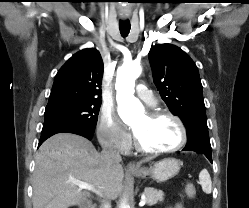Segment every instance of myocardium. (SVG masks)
Returning a JSON list of instances; mask_svg holds the SVG:
<instances>
[{"label": "myocardium", "instance_id": "f54148a6", "mask_svg": "<svg viewBox=\"0 0 249 208\" xmlns=\"http://www.w3.org/2000/svg\"><path fill=\"white\" fill-rule=\"evenodd\" d=\"M148 116L150 118H159V117H168L171 118L172 120H174L176 122V124L179 127L180 130V141L172 148H168V149H148L146 147H144L140 141L138 140L137 136L134 137V145L135 148L144 154H150V155H161V154H169V153H173L178 151L179 149H181L187 142L188 139V133H187V129L186 126L184 124V122L182 121V119L175 115L174 113L168 111V110H151L148 112Z\"/></svg>", "mask_w": 249, "mask_h": 208}]
</instances>
